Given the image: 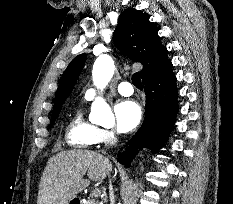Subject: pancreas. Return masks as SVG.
I'll list each match as a JSON object with an SVG mask.
<instances>
[{
  "instance_id": "obj_1",
  "label": "pancreas",
  "mask_w": 233,
  "mask_h": 204,
  "mask_svg": "<svg viewBox=\"0 0 233 204\" xmlns=\"http://www.w3.org/2000/svg\"><path fill=\"white\" fill-rule=\"evenodd\" d=\"M85 204H99L95 199H88Z\"/></svg>"
}]
</instances>
